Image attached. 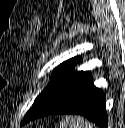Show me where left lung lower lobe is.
<instances>
[{
    "mask_svg": "<svg viewBox=\"0 0 125 128\" xmlns=\"http://www.w3.org/2000/svg\"><path fill=\"white\" fill-rule=\"evenodd\" d=\"M106 98L94 86L92 76L87 72L75 86L66 103L52 114H78L86 117L99 128H107Z\"/></svg>",
    "mask_w": 125,
    "mask_h": 128,
    "instance_id": "0a47b994",
    "label": "left lung lower lobe"
}]
</instances>
